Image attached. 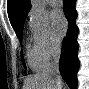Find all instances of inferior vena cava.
I'll return each mask as SVG.
<instances>
[{
    "label": "inferior vena cava",
    "instance_id": "obj_1",
    "mask_svg": "<svg viewBox=\"0 0 89 89\" xmlns=\"http://www.w3.org/2000/svg\"><path fill=\"white\" fill-rule=\"evenodd\" d=\"M60 52H61V42H56L54 45V50H53V63L51 65V68L49 70V73L56 77L59 78V58H60ZM60 89V87H58Z\"/></svg>",
    "mask_w": 89,
    "mask_h": 89
}]
</instances>
